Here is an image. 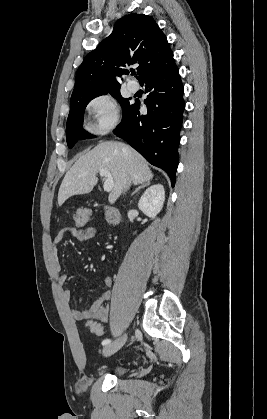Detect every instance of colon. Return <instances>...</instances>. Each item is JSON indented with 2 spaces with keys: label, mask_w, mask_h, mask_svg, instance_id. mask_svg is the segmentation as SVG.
I'll list each match as a JSON object with an SVG mask.
<instances>
[{
  "label": "colon",
  "mask_w": 267,
  "mask_h": 419,
  "mask_svg": "<svg viewBox=\"0 0 267 419\" xmlns=\"http://www.w3.org/2000/svg\"><path fill=\"white\" fill-rule=\"evenodd\" d=\"M91 212L88 209H80L73 216V222L76 228L84 227L89 221ZM87 327L95 335H102L104 333V327L96 321H88Z\"/></svg>",
  "instance_id": "obj_1"
}]
</instances>
